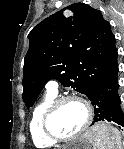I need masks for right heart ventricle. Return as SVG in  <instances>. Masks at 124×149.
<instances>
[{
  "mask_svg": "<svg viewBox=\"0 0 124 149\" xmlns=\"http://www.w3.org/2000/svg\"><path fill=\"white\" fill-rule=\"evenodd\" d=\"M57 93L48 92L34 107L29 121V131L36 147L50 148L56 142L48 139L42 129L44 114L50 104L56 99Z\"/></svg>",
  "mask_w": 124,
  "mask_h": 149,
  "instance_id": "right-heart-ventricle-1",
  "label": "right heart ventricle"
}]
</instances>
